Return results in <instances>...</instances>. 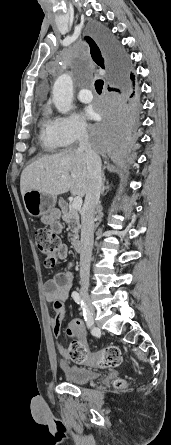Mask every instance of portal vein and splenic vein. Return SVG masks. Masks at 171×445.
Here are the masks:
<instances>
[{
  "label": "portal vein and splenic vein",
  "mask_w": 171,
  "mask_h": 445,
  "mask_svg": "<svg viewBox=\"0 0 171 445\" xmlns=\"http://www.w3.org/2000/svg\"><path fill=\"white\" fill-rule=\"evenodd\" d=\"M63 177H64V176H62V178H63ZM81 206H82V198H81L80 196H76V197L74 198L73 202H72L71 207H72L74 210H77V209L81 208Z\"/></svg>",
  "instance_id": "1"
}]
</instances>
